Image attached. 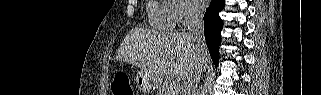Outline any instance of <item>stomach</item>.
<instances>
[{
    "instance_id": "1",
    "label": "stomach",
    "mask_w": 321,
    "mask_h": 95,
    "mask_svg": "<svg viewBox=\"0 0 321 95\" xmlns=\"http://www.w3.org/2000/svg\"><path fill=\"white\" fill-rule=\"evenodd\" d=\"M136 83L140 90L145 92L153 91L156 86V80L146 72L139 71L136 76Z\"/></svg>"
}]
</instances>
